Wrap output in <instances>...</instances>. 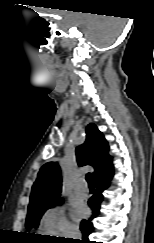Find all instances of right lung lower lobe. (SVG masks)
<instances>
[{"instance_id":"obj_1","label":"right lung lower lobe","mask_w":154,"mask_h":243,"mask_svg":"<svg viewBox=\"0 0 154 243\" xmlns=\"http://www.w3.org/2000/svg\"><path fill=\"white\" fill-rule=\"evenodd\" d=\"M113 174H114V170L112 168L110 171L94 178V184L96 189L93 196L88 201L90 208L92 209L93 215L88 220H82L80 225V230L83 235V240L73 241V240L54 238L49 240V243H90V241L88 240V236L93 231L92 220L93 218L98 216L100 212V205L103 200L102 192L108 188L109 181L112 179Z\"/></svg>"}]
</instances>
